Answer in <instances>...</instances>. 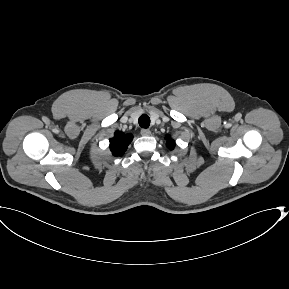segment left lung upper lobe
<instances>
[{
	"mask_svg": "<svg viewBox=\"0 0 289 289\" xmlns=\"http://www.w3.org/2000/svg\"><path fill=\"white\" fill-rule=\"evenodd\" d=\"M166 138L168 139L166 143L167 147L169 149H173L175 147V142L172 139H170L169 135H167Z\"/></svg>",
	"mask_w": 289,
	"mask_h": 289,
	"instance_id": "obj_1",
	"label": "left lung upper lobe"
}]
</instances>
